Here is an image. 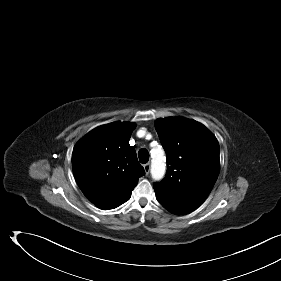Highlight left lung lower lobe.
Listing matches in <instances>:
<instances>
[{
	"label": "left lung lower lobe",
	"instance_id": "1",
	"mask_svg": "<svg viewBox=\"0 0 281 281\" xmlns=\"http://www.w3.org/2000/svg\"><path fill=\"white\" fill-rule=\"evenodd\" d=\"M158 202L171 213L183 215L192 212L199 207V204L191 203L180 196H172L163 198L156 195Z\"/></svg>",
	"mask_w": 281,
	"mask_h": 281
}]
</instances>
